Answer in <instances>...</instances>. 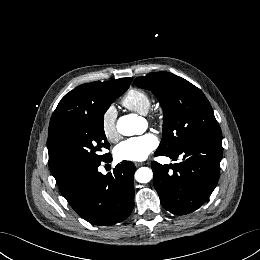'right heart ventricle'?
Wrapping results in <instances>:
<instances>
[{
  "mask_svg": "<svg viewBox=\"0 0 260 260\" xmlns=\"http://www.w3.org/2000/svg\"><path fill=\"white\" fill-rule=\"evenodd\" d=\"M150 95L141 89H130L122 99V104L127 109L139 114H146L151 107Z\"/></svg>",
  "mask_w": 260,
  "mask_h": 260,
  "instance_id": "e07e8e85",
  "label": "right heart ventricle"
}]
</instances>
